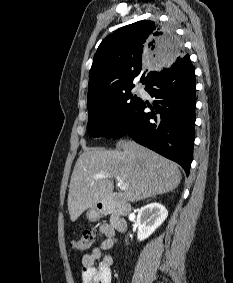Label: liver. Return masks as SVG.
Here are the masks:
<instances>
[{"label":"liver","instance_id":"6515ba94","mask_svg":"<svg viewBox=\"0 0 233 283\" xmlns=\"http://www.w3.org/2000/svg\"><path fill=\"white\" fill-rule=\"evenodd\" d=\"M109 176L94 179L95 174ZM119 177L124 197L137 202L174 190L182 179L178 165L132 140H120L115 150L86 149L78 158L69 184L68 210L75 222L88 208L106 201Z\"/></svg>","mask_w":233,"mask_h":283}]
</instances>
